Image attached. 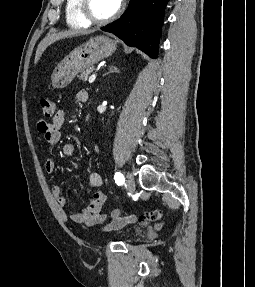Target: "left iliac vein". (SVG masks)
I'll use <instances>...</instances> for the list:
<instances>
[{
	"instance_id": "4c4485c4",
	"label": "left iliac vein",
	"mask_w": 255,
	"mask_h": 287,
	"mask_svg": "<svg viewBox=\"0 0 255 287\" xmlns=\"http://www.w3.org/2000/svg\"><path fill=\"white\" fill-rule=\"evenodd\" d=\"M126 184H127L128 190L131 193H133L135 190V181H134L133 175L129 172L126 174Z\"/></svg>"
}]
</instances>
